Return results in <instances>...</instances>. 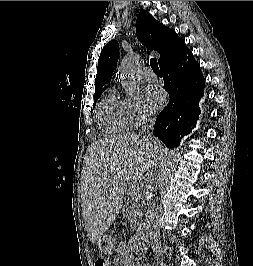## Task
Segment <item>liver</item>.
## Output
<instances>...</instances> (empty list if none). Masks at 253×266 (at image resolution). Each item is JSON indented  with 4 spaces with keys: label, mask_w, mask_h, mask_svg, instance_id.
Wrapping results in <instances>:
<instances>
[{
    "label": "liver",
    "mask_w": 253,
    "mask_h": 266,
    "mask_svg": "<svg viewBox=\"0 0 253 266\" xmlns=\"http://www.w3.org/2000/svg\"><path fill=\"white\" fill-rule=\"evenodd\" d=\"M167 152L161 142L135 133L92 143L84 159L83 218L89 239L98 242L115 221L130 184L151 172Z\"/></svg>",
    "instance_id": "obj_1"
}]
</instances>
